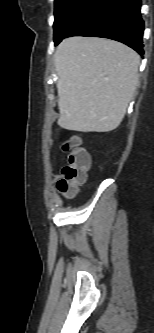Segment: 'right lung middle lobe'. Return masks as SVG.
I'll return each instance as SVG.
<instances>
[{
	"label": "right lung middle lobe",
	"mask_w": 154,
	"mask_h": 333,
	"mask_svg": "<svg viewBox=\"0 0 154 333\" xmlns=\"http://www.w3.org/2000/svg\"><path fill=\"white\" fill-rule=\"evenodd\" d=\"M100 0H55L54 42L57 45L88 14Z\"/></svg>",
	"instance_id": "1"
}]
</instances>
